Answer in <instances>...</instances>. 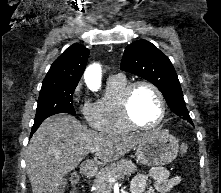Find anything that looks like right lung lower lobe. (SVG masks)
Returning a JSON list of instances; mask_svg holds the SVG:
<instances>
[{"label": "right lung lower lobe", "mask_w": 221, "mask_h": 193, "mask_svg": "<svg viewBox=\"0 0 221 193\" xmlns=\"http://www.w3.org/2000/svg\"><path fill=\"white\" fill-rule=\"evenodd\" d=\"M43 122V121H42ZM42 122H37V123H34L33 127H32V131H31V136L32 134L38 129V127L40 126V124Z\"/></svg>", "instance_id": "right-lung-lower-lobe-1"}]
</instances>
